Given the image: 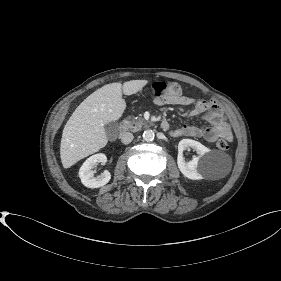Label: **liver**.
I'll use <instances>...</instances> for the list:
<instances>
[{"instance_id":"obj_1","label":"liver","mask_w":281,"mask_h":281,"mask_svg":"<svg viewBox=\"0 0 281 281\" xmlns=\"http://www.w3.org/2000/svg\"><path fill=\"white\" fill-rule=\"evenodd\" d=\"M147 80H131L107 84L89 95L73 112L64 126L60 157L64 168L105 147L108 138L105 125L118 120L126 103L122 93L132 95L140 91Z\"/></svg>"}]
</instances>
